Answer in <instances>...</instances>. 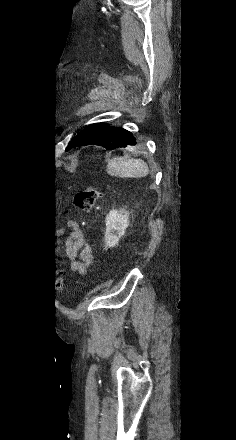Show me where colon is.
I'll use <instances>...</instances> for the list:
<instances>
[{
	"instance_id": "obj_1",
	"label": "colon",
	"mask_w": 236,
	"mask_h": 440,
	"mask_svg": "<svg viewBox=\"0 0 236 440\" xmlns=\"http://www.w3.org/2000/svg\"><path fill=\"white\" fill-rule=\"evenodd\" d=\"M99 197L97 187L88 185L78 190L74 195V205L77 209L89 212L95 205ZM47 285H60V276H47Z\"/></svg>"
}]
</instances>
